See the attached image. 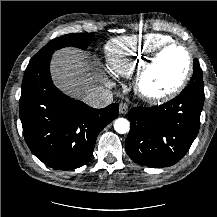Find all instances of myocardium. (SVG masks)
<instances>
[{"label": "myocardium", "mask_w": 217, "mask_h": 217, "mask_svg": "<svg viewBox=\"0 0 217 217\" xmlns=\"http://www.w3.org/2000/svg\"><path fill=\"white\" fill-rule=\"evenodd\" d=\"M172 48L181 49L187 55L188 66L186 72L184 73L180 81L172 89L161 93L148 92L144 87V83L149 71L152 69L154 64L161 57V55L165 51ZM193 71V55L189 48L177 42H168L155 49L138 68L133 82L134 90L136 94L147 103L155 104L160 102H166L178 96L185 89L193 75Z\"/></svg>", "instance_id": "1"}]
</instances>
